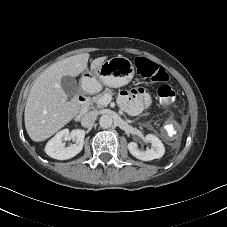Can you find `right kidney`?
Listing matches in <instances>:
<instances>
[{"instance_id": "right-kidney-1", "label": "right kidney", "mask_w": 227, "mask_h": 227, "mask_svg": "<svg viewBox=\"0 0 227 227\" xmlns=\"http://www.w3.org/2000/svg\"><path fill=\"white\" fill-rule=\"evenodd\" d=\"M85 131L82 129H63L48 141L45 152L51 158L66 160L76 156L83 149ZM73 140L75 143L65 147L63 141Z\"/></svg>"}]
</instances>
